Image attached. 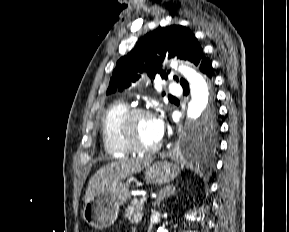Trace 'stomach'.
Wrapping results in <instances>:
<instances>
[{"mask_svg": "<svg viewBox=\"0 0 289 232\" xmlns=\"http://www.w3.org/2000/svg\"><path fill=\"white\" fill-rule=\"evenodd\" d=\"M177 176L172 163L158 161L145 167V180L154 185L171 182ZM130 197L129 184L119 181L111 189L93 196L83 207V218L96 229H106L117 219L119 207Z\"/></svg>", "mask_w": 289, "mask_h": 232, "instance_id": "stomach-1", "label": "stomach"}]
</instances>
